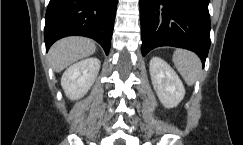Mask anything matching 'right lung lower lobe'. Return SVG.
<instances>
[{"label":"right lung lower lobe","mask_w":243,"mask_h":145,"mask_svg":"<svg viewBox=\"0 0 243 145\" xmlns=\"http://www.w3.org/2000/svg\"><path fill=\"white\" fill-rule=\"evenodd\" d=\"M118 0H50L44 39L46 50L60 38L72 35L96 40L109 53Z\"/></svg>","instance_id":"98d812e1"}]
</instances>
